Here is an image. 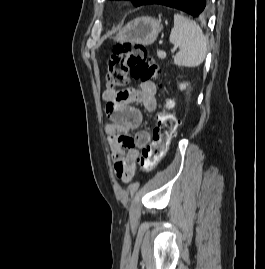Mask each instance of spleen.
I'll return each mask as SVG.
<instances>
[{
	"label": "spleen",
	"mask_w": 265,
	"mask_h": 269,
	"mask_svg": "<svg viewBox=\"0 0 265 269\" xmlns=\"http://www.w3.org/2000/svg\"><path fill=\"white\" fill-rule=\"evenodd\" d=\"M170 43L179 47L174 64L181 67H197L205 59L207 38L200 26L181 14H174V26L170 34Z\"/></svg>",
	"instance_id": "1"
}]
</instances>
